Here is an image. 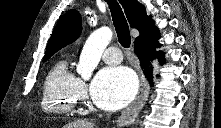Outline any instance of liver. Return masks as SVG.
I'll use <instances>...</instances> for the list:
<instances>
[{"mask_svg":"<svg viewBox=\"0 0 221 128\" xmlns=\"http://www.w3.org/2000/svg\"><path fill=\"white\" fill-rule=\"evenodd\" d=\"M64 128H93V124L86 121H74L66 125Z\"/></svg>","mask_w":221,"mask_h":128,"instance_id":"liver-1","label":"liver"}]
</instances>
